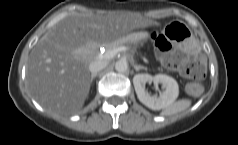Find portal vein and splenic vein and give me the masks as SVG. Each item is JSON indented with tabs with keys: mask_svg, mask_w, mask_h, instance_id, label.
<instances>
[{
	"mask_svg": "<svg viewBox=\"0 0 238 145\" xmlns=\"http://www.w3.org/2000/svg\"><path fill=\"white\" fill-rule=\"evenodd\" d=\"M118 52H119V49H113V50L107 51L103 55L99 54L97 57L98 58L110 59V58H113Z\"/></svg>",
	"mask_w": 238,
	"mask_h": 145,
	"instance_id": "obj_1",
	"label": "portal vein and splenic vein"
}]
</instances>
